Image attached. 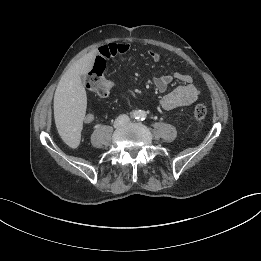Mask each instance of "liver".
<instances>
[{
	"label": "liver",
	"mask_w": 261,
	"mask_h": 261,
	"mask_svg": "<svg viewBox=\"0 0 261 261\" xmlns=\"http://www.w3.org/2000/svg\"><path fill=\"white\" fill-rule=\"evenodd\" d=\"M96 53L90 52L77 60L63 74L54 94V118L62 138L79 132L87 108L86 90L81 75L94 64Z\"/></svg>",
	"instance_id": "liver-1"
}]
</instances>
